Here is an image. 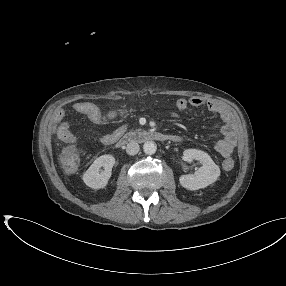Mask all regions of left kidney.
Instances as JSON below:
<instances>
[{
    "label": "left kidney",
    "instance_id": "left-kidney-1",
    "mask_svg": "<svg viewBox=\"0 0 286 286\" xmlns=\"http://www.w3.org/2000/svg\"><path fill=\"white\" fill-rule=\"evenodd\" d=\"M186 159L198 160L202 166L194 173L182 175L179 178L180 184L188 190H198L214 183L220 176V168L212 158L204 151L187 149L183 152Z\"/></svg>",
    "mask_w": 286,
    "mask_h": 286
}]
</instances>
